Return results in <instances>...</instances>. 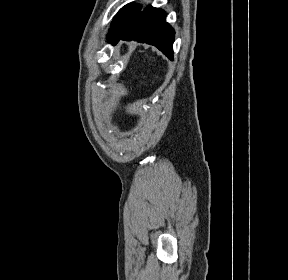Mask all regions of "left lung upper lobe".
Returning <instances> with one entry per match:
<instances>
[{"label": "left lung upper lobe", "instance_id": "left-lung-upper-lobe-1", "mask_svg": "<svg viewBox=\"0 0 288 280\" xmlns=\"http://www.w3.org/2000/svg\"><path fill=\"white\" fill-rule=\"evenodd\" d=\"M141 8L140 5L129 3L122 7L111 22L110 29L107 34V40L110 42L112 38L121 30L127 20Z\"/></svg>", "mask_w": 288, "mask_h": 280}]
</instances>
